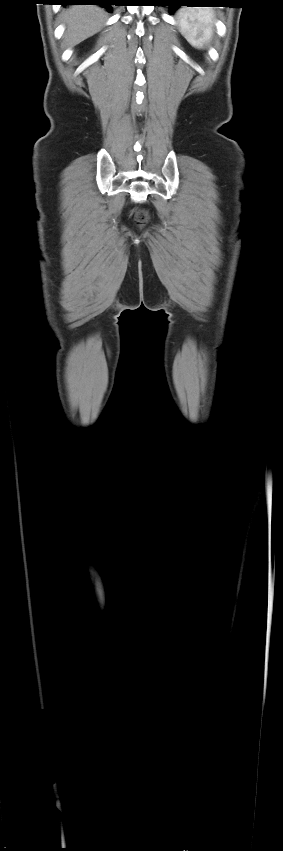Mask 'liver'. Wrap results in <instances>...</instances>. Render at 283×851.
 Wrapping results in <instances>:
<instances>
[{"instance_id":"obj_1","label":"liver","mask_w":283,"mask_h":851,"mask_svg":"<svg viewBox=\"0 0 283 851\" xmlns=\"http://www.w3.org/2000/svg\"><path fill=\"white\" fill-rule=\"evenodd\" d=\"M107 15L103 9L90 5L69 7L62 14L66 26L64 46L73 47L101 30Z\"/></svg>"}]
</instances>
